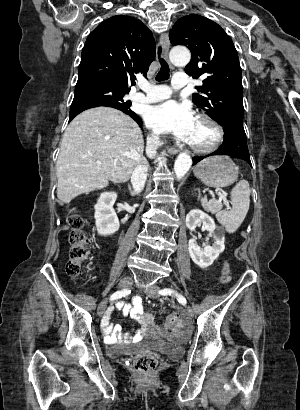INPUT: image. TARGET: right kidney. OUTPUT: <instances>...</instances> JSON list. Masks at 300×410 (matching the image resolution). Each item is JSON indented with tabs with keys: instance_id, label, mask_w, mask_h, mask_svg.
Segmentation results:
<instances>
[{
	"instance_id": "ca27d5eb",
	"label": "right kidney",
	"mask_w": 300,
	"mask_h": 410,
	"mask_svg": "<svg viewBox=\"0 0 300 410\" xmlns=\"http://www.w3.org/2000/svg\"><path fill=\"white\" fill-rule=\"evenodd\" d=\"M116 199L117 194L115 192H104L101 193L94 206L97 232L101 236L114 234L120 227L118 217L113 208Z\"/></svg>"
}]
</instances>
